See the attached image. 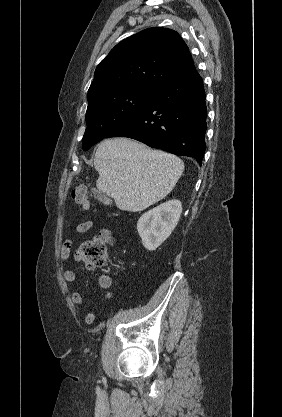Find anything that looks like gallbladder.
<instances>
[{
  "label": "gallbladder",
  "mask_w": 282,
  "mask_h": 417,
  "mask_svg": "<svg viewBox=\"0 0 282 417\" xmlns=\"http://www.w3.org/2000/svg\"><path fill=\"white\" fill-rule=\"evenodd\" d=\"M91 192L95 198H98V200H100V202H104V204H107L108 200H110L107 194H104V192H101L98 188H91Z\"/></svg>",
  "instance_id": "1"
}]
</instances>
